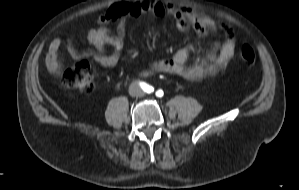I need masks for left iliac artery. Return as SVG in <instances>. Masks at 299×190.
I'll return each instance as SVG.
<instances>
[{"mask_svg":"<svg viewBox=\"0 0 299 190\" xmlns=\"http://www.w3.org/2000/svg\"><path fill=\"white\" fill-rule=\"evenodd\" d=\"M159 93H161V91H158V92H157V95H158V96H159Z\"/></svg>","mask_w":299,"mask_h":190,"instance_id":"left-iliac-artery-1","label":"left iliac artery"}]
</instances>
